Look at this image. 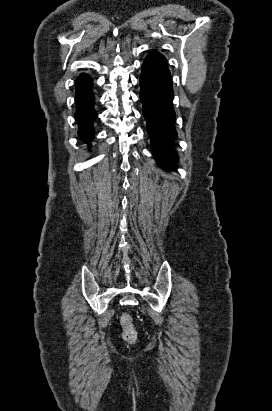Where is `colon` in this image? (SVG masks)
Here are the masks:
<instances>
[{
  "mask_svg": "<svg viewBox=\"0 0 272 411\" xmlns=\"http://www.w3.org/2000/svg\"><path fill=\"white\" fill-rule=\"evenodd\" d=\"M120 323L123 328L122 337L128 344L136 343L138 339V332L133 324L132 317L124 313L120 317Z\"/></svg>",
  "mask_w": 272,
  "mask_h": 411,
  "instance_id": "colon-1",
  "label": "colon"
}]
</instances>
